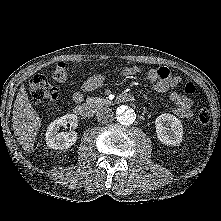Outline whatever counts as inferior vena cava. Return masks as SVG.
I'll use <instances>...</instances> for the list:
<instances>
[{
    "mask_svg": "<svg viewBox=\"0 0 221 221\" xmlns=\"http://www.w3.org/2000/svg\"><path fill=\"white\" fill-rule=\"evenodd\" d=\"M96 116L99 122L108 123L113 117L112 110L108 107H99L96 111Z\"/></svg>",
    "mask_w": 221,
    "mask_h": 221,
    "instance_id": "602c4592",
    "label": "inferior vena cava"
}]
</instances>
